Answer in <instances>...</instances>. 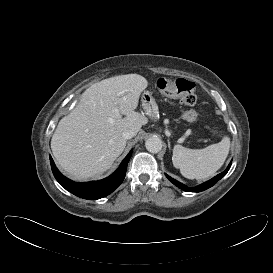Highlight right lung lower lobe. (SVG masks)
Here are the masks:
<instances>
[{
    "instance_id": "right-lung-lower-lobe-1",
    "label": "right lung lower lobe",
    "mask_w": 273,
    "mask_h": 273,
    "mask_svg": "<svg viewBox=\"0 0 273 273\" xmlns=\"http://www.w3.org/2000/svg\"><path fill=\"white\" fill-rule=\"evenodd\" d=\"M132 155V150L129 154L124 158L118 169L111 174L109 177L93 182L86 183H76L65 176H63L59 170L56 168L52 158L50 157V163L52 172L56 178V180L61 184L66 190L73 193L74 195L88 199V200H96L103 198L110 193H112L124 180L126 175V169L130 157Z\"/></svg>"
}]
</instances>
